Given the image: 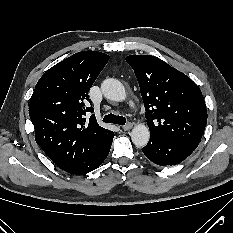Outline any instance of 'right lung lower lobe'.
Returning a JSON list of instances; mask_svg holds the SVG:
<instances>
[{
  "label": "right lung lower lobe",
  "instance_id": "obj_1",
  "mask_svg": "<svg viewBox=\"0 0 233 233\" xmlns=\"http://www.w3.org/2000/svg\"><path fill=\"white\" fill-rule=\"evenodd\" d=\"M111 143H112V140L108 144H106L103 147V149L99 153H97L95 156L85 161L84 163H81L75 167H72L66 170V172L75 174V175H82V174H86L88 172L95 170L103 163V161L107 157L110 151V148H111Z\"/></svg>",
  "mask_w": 233,
  "mask_h": 233
}]
</instances>
